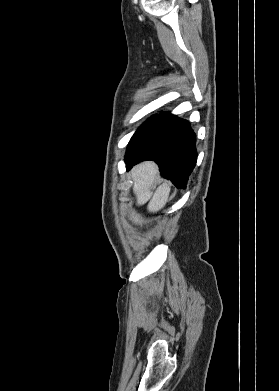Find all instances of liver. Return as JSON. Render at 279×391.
<instances>
[{
  "label": "liver",
  "mask_w": 279,
  "mask_h": 391,
  "mask_svg": "<svg viewBox=\"0 0 279 391\" xmlns=\"http://www.w3.org/2000/svg\"><path fill=\"white\" fill-rule=\"evenodd\" d=\"M131 174L137 204L143 205L149 201L147 207L149 212H157L162 209L168 200L170 186L163 183L155 189L154 184L158 177L157 165L151 161L142 162L132 169Z\"/></svg>",
  "instance_id": "1"
}]
</instances>
